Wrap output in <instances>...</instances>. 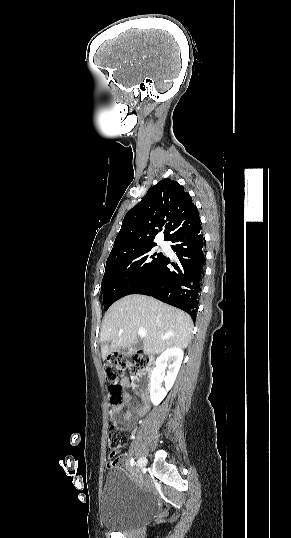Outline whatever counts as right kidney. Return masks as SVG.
<instances>
[{
  "label": "right kidney",
  "instance_id": "1",
  "mask_svg": "<svg viewBox=\"0 0 291 538\" xmlns=\"http://www.w3.org/2000/svg\"><path fill=\"white\" fill-rule=\"evenodd\" d=\"M182 360L183 350L179 347L168 348L157 358L150 378V398L153 405H159L172 388ZM167 363L169 364V369L165 375ZM163 380L165 382V388L162 386Z\"/></svg>",
  "mask_w": 291,
  "mask_h": 538
}]
</instances>
